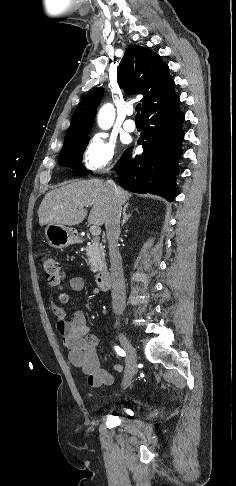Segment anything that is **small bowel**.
<instances>
[{"mask_svg":"<svg viewBox=\"0 0 236 486\" xmlns=\"http://www.w3.org/2000/svg\"><path fill=\"white\" fill-rule=\"evenodd\" d=\"M67 285L74 291L85 289L84 280L81 277H71ZM93 293L94 291L91 292V294ZM50 309L56 317V328L62 336L64 347L68 351L69 361L82 369L90 386L110 385L113 382V377L100 367L97 351L99 338L88 325L85 313L82 310H77L72 318L68 319L65 311L55 305L51 299ZM113 369L116 373H121L123 366L117 363Z\"/></svg>","mask_w":236,"mask_h":486,"instance_id":"c3829d8e","label":"small bowel"}]
</instances>
